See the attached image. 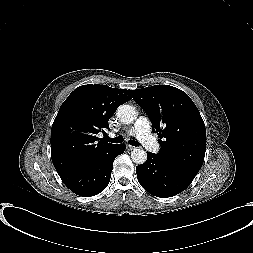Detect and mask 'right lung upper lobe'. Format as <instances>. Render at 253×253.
<instances>
[{
    "instance_id": "obj_1",
    "label": "right lung upper lobe",
    "mask_w": 253,
    "mask_h": 253,
    "mask_svg": "<svg viewBox=\"0 0 253 253\" xmlns=\"http://www.w3.org/2000/svg\"><path fill=\"white\" fill-rule=\"evenodd\" d=\"M130 93L107 85H83L68 96L51 129V156L59 175L84 166L114 145L96 135L105 134L116 109L132 99Z\"/></svg>"
}]
</instances>
